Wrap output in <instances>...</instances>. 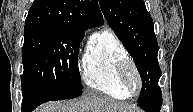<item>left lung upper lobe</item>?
Masks as SVG:
<instances>
[{
	"label": "left lung upper lobe",
	"mask_w": 193,
	"mask_h": 112,
	"mask_svg": "<svg viewBox=\"0 0 193 112\" xmlns=\"http://www.w3.org/2000/svg\"><path fill=\"white\" fill-rule=\"evenodd\" d=\"M101 10L117 37L133 57L142 79L137 104L153 99L161 70L153 20L143 0H99Z\"/></svg>",
	"instance_id": "1"
}]
</instances>
